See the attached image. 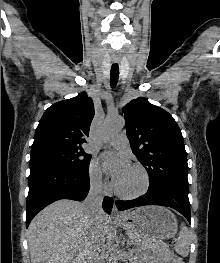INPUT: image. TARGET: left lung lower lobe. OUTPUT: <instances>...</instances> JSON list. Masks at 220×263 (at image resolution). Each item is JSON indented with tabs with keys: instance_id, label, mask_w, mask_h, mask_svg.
<instances>
[{
	"instance_id": "obj_1",
	"label": "left lung lower lobe",
	"mask_w": 220,
	"mask_h": 263,
	"mask_svg": "<svg viewBox=\"0 0 220 263\" xmlns=\"http://www.w3.org/2000/svg\"><path fill=\"white\" fill-rule=\"evenodd\" d=\"M144 205H160L171 207L180 212L191 223L190 203L188 199V191L173 185H158L149 188L147 193L134 200L116 201V206L120 211L144 206Z\"/></svg>"
}]
</instances>
